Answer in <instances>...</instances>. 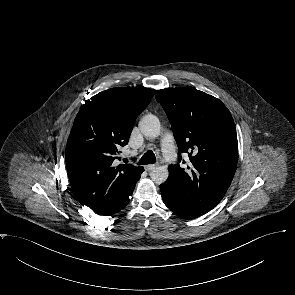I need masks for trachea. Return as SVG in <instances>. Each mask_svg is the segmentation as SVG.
I'll return each mask as SVG.
<instances>
[{"instance_id": "3493384b", "label": "trachea", "mask_w": 295, "mask_h": 295, "mask_svg": "<svg viewBox=\"0 0 295 295\" xmlns=\"http://www.w3.org/2000/svg\"><path fill=\"white\" fill-rule=\"evenodd\" d=\"M156 162V157L155 154L151 151L148 150L139 160L138 164L139 165H146V164H153Z\"/></svg>"}]
</instances>
